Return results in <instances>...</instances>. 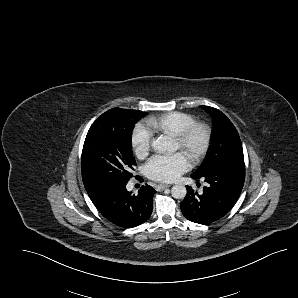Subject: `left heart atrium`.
<instances>
[{
    "instance_id": "obj_1",
    "label": "left heart atrium",
    "mask_w": 298,
    "mask_h": 298,
    "mask_svg": "<svg viewBox=\"0 0 298 298\" xmlns=\"http://www.w3.org/2000/svg\"><path fill=\"white\" fill-rule=\"evenodd\" d=\"M185 170V162L179 153L157 154L144 166V174L152 180L169 182Z\"/></svg>"
}]
</instances>
